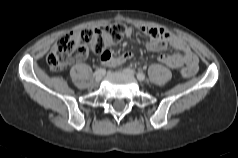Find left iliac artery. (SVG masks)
I'll list each match as a JSON object with an SVG mask.
<instances>
[{"instance_id":"44dca946","label":"left iliac artery","mask_w":238,"mask_h":158,"mask_svg":"<svg viewBox=\"0 0 238 158\" xmlns=\"http://www.w3.org/2000/svg\"><path fill=\"white\" fill-rule=\"evenodd\" d=\"M137 78H138V80L143 81V80L145 79V74L142 73V72H139V73L137 74Z\"/></svg>"}]
</instances>
